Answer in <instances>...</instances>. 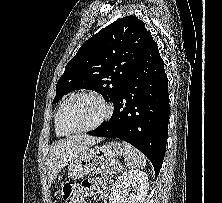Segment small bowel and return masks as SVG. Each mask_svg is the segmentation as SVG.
<instances>
[{"instance_id": "1", "label": "small bowel", "mask_w": 222, "mask_h": 203, "mask_svg": "<svg viewBox=\"0 0 222 203\" xmlns=\"http://www.w3.org/2000/svg\"><path fill=\"white\" fill-rule=\"evenodd\" d=\"M96 192L97 196L101 199L104 197L107 191L106 186L92 185L90 182L85 181L80 186L74 188V194L72 197L73 203H82L86 195Z\"/></svg>"}]
</instances>
